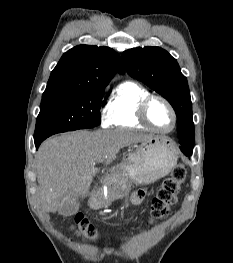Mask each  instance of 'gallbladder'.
Returning a JSON list of instances; mask_svg holds the SVG:
<instances>
[{
  "instance_id": "bac80fb5",
  "label": "gallbladder",
  "mask_w": 233,
  "mask_h": 263,
  "mask_svg": "<svg viewBox=\"0 0 233 263\" xmlns=\"http://www.w3.org/2000/svg\"><path fill=\"white\" fill-rule=\"evenodd\" d=\"M80 203L77 201H73L64 205L62 208L59 209V214L68 217L76 214L79 210Z\"/></svg>"
}]
</instances>
